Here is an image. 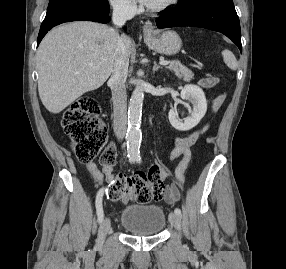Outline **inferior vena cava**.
<instances>
[{
    "mask_svg": "<svg viewBox=\"0 0 286 269\" xmlns=\"http://www.w3.org/2000/svg\"><path fill=\"white\" fill-rule=\"evenodd\" d=\"M135 15V9L127 1L113 5L112 21L117 28L122 27L127 20ZM129 54L126 36L118 35L116 58L112 76L109 80L112 90L114 110L113 129L116 137L122 140L127 130V94L125 81L128 74Z\"/></svg>",
    "mask_w": 286,
    "mask_h": 269,
    "instance_id": "obj_1",
    "label": "inferior vena cava"
}]
</instances>
